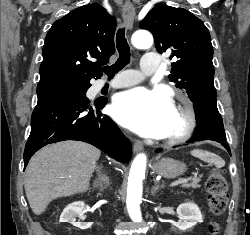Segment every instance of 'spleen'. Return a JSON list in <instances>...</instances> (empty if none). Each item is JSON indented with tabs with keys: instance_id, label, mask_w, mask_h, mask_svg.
Returning a JSON list of instances; mask_svg holds the SVG:
<instances>
[{
	"instance_id": "1",
	"label": "spleen",
	"mask_w": 250,
	"mask_h": 235,
	"mask_svg": "<svg viewBox=\"0 0 250 235\" xmlns=\"http://www.w3.org/2000/svg\"><path fill=\"white\" fill-rule=\"evenodd\" d=\"M191 154L205 162L214 164L217 168H222L225 165L224 160L214 153L203 150H193Z\"/></svg>"
}]
</instances>
